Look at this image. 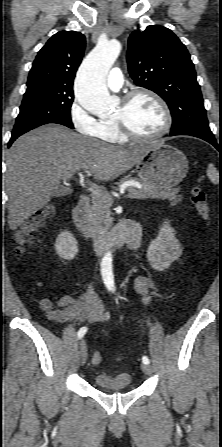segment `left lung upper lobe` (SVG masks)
Segmentation results:
<instances>
[{"instance_id": "left-lung-upper-lobe-1", "label": "left lung upper lobe", "mask_w": 222, "mask_h": 447, "mask_svg": "<svg viewBox=\"0 0 222 447\" xmlns=\"http://www.w3.org/2000/svg\"><path fill=\"white\" fill-rule=\"evenodd\" d=\"M127 63L137 85L167 102L173 119L171 132L192 130L213 135L194 65L185 45L171 30L151 25L143 32H132Z\"/></svg>"}]
</instances>
